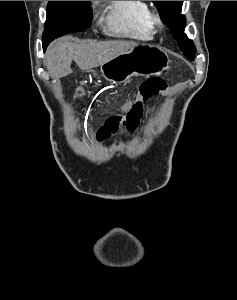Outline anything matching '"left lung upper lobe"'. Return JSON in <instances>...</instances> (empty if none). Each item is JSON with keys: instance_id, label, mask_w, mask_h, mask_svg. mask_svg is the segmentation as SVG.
I'll return each mask as SVG.
<instances>
[{"instance_id": "left-lung-upper-lobe-1", "label": "left lung upper lobe", "mask_w": 237, "mask_h": 300, "mask_svg": "<svg viewBox=\"0 0 237 300\" xmlns=\"http://www.w3.org/2000/svg\"><path fill=\"white\" fill-rule=\"evenodd\" d=\"M161 13V18L171 28L174 39L178 41L182 52L193 60L196 48L193 41L184 34L186 19L181 15L183 1H152Z\"/></svg>"}]
</instances>
